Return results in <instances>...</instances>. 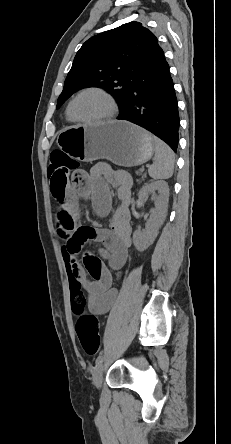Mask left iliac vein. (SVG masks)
Segmentation results:
<instances>
[{
	"mask_svg": "<svg viewBox=\"0 0 231 444\" xmlns=\"http://www.w3.org/2000/svg\"><path fill=\"white\" fill-rule=\"evenodd\" d=\"M103 372H104V363L103 361L98 364L94 370L93 373V383L97 388H100L103 378Z\"/></svg>",
	"mask_w": 231,
	"mask_h": 444,
	"instance_id": "left-iliac-vein-1",
	"label": "left iliac vein"
}]
</instances>
